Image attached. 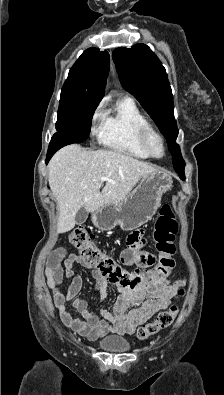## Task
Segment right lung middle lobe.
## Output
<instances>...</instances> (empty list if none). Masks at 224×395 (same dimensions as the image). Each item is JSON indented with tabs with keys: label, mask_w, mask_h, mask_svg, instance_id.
Wrapping results in <instances>:
<instances>
[{
	"label": "right lung middle lobe",
	"mask_w": 224,
	"mask_h": 395,
	"mask_svg": "<svg viewBox=\"0 0 224 395\" xmlns=\"http://www.w3.org/2000/svg\"><path fill=\"white\" fill-rule=\"evenodd\" d=\"M102 98L62 88L53 140L81 143L90 133L91 121Z\"/></svg>",
	"instance_id": "1"
}]
</instances>
